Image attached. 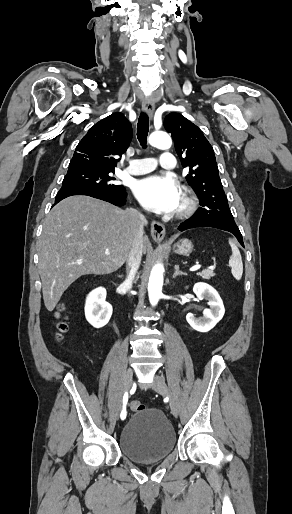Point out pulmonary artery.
<instances>
[{"label":"pulmonary artery","instance_id":"pulmonary-artery-1","mask_svg":"<svg viewBox=\"0 0 292 514\" xmlns=\"http://www.w3.org/2000/svg\"><path fill=\"white\" fill-rule=\"evenodd\" d=\"M132 170L130 173L134 175L153 172L157 169V164L153 162L151 157H133L131 159ZM175 169V159L172 151L167 150L162 153L160 170L162 172H172Z\"/></svg>","mask_w":292,"mask_h":514}]
</instances>
